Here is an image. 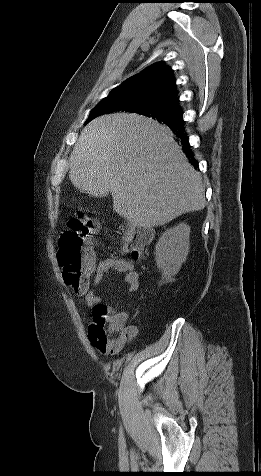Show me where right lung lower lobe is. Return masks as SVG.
<instances>
[{"label": "right lung lower lobe", "instance_id": "98d812e1", "mask_svg": "<svg viewBox=\"0 0 261 476\" xmlns=\"http://www.w3.org/2000/svg\"><path fill=\"white\" fill-rule=\"evenodd\" d=\"M183 123H184V121H183V118H182L179 122L169 124L168 126L175 133V135L179 138V140L182 144L183 150H184V152L186 153L187 157L190 160V163L192 165L196 166L197 161L194 159L193 154L191 152L189 141H188V138H187L186 133L184 131Z\"/></svg>", "mask_w": 261, "mask_h": 476}]
</instances>
